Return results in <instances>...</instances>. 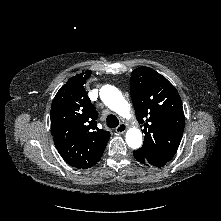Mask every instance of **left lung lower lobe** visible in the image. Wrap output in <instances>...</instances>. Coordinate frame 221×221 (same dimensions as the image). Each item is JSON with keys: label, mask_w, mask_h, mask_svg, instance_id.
<instances>
[{"label": "left lung lower lobe", "mask_w": 221, "mask_h": 221, "mask_svg": "<svg viewBox=\"0 0 221 221\" xmlns=\"http://www.w3.org/2000/svg\"><path fill=\"white\" fill-rule=\"evenodd\" d=\"M133 155L136 158V160H138L140 163L145 164V165L148 164L146 159L144 157H142L140 154H138L136 151L133 152Z\"/></svg>", "instance_id": "1"}]
</instances>
